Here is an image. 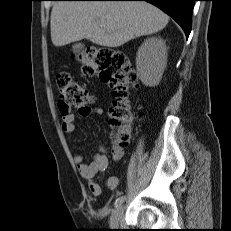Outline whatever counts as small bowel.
<instances>
[{"label": "small bowel", "mask_w": 231, "mask_h": 231, "mask_svg": "<svg viewBox=\"0 0 231 231\" xmlns=\"http://www.w3.org/2000/svg\"><path fill=\"white\" fill-rule=\"evenodd\" d=\"M79 113L83 117H87L91 114L98 116L103 115V109L96 107L94 109L85 107L79 110ZM75 116L68 113L63 114L61 129L64 133L71 134L75 131ZM129 132V129L126 130ZM123 156V149L114 145L112 148V158L115 162H119ZM74 162L78 167L80 175L85 179L88 184L89 190L93 196L98 197L102 194L101 185L95 180L97 174L102 173L108 166V159L105 154V149L102 145L99 146V151L93 155L90 163H85L84 156L80 153L74 155ZM119 181L115 176L107 177L105 186L110 191H115L118 187Z\"/></svg>", "instance_id": "1"}]
</instances>
